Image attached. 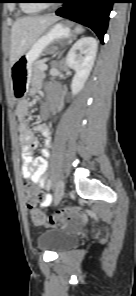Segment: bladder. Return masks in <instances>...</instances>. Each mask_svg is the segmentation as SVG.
<instances>
[{
  "instance_id": "bladder-1",
  "label": "bladder",
  "mask_w": 136,
  "mask_h": 296,
  "mask_svg": "<svg viewBox=\"0 0 136 296\" xmlns=\"http://www.w3.org/2000/svg\"><path fill=\"white\" fill-rule=\"evenodd\" d=\"M76 235L64 229H49L40 234L38 245L42 250L58 252L72 246Z\"/></svg>"
}]
</instances>
